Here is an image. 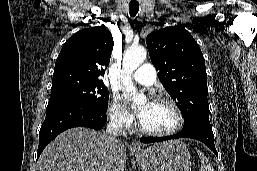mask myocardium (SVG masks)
<instances>
[{
    "label": "myocardium",
    "instance_id": "obj_1",
    "mask_svg": "<svg viewBox=\"0 0 257 171\" xmlns=\"http://www.w3.org/2000/svg\"><path fill=\"white\" fill-rule=\"evenodd\" d=\"M153 102L168 104L175 112L176 123L170 129H167L164 131H157V130H151V129L146 128L145 126L142 125V123L139 119L138 120L139 130L144 134H148L151 136H157V137H166V136H171V135L177 133L182 128L183 123H184L183 113H182L180 107L178 106V104L172 98H170L168 96H156L153 99Z\"/></svg>",
    "mask_w": 257,
    "mask_h": 171
}]
</instances>
